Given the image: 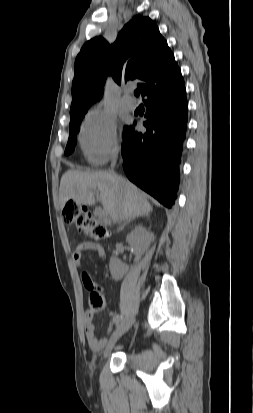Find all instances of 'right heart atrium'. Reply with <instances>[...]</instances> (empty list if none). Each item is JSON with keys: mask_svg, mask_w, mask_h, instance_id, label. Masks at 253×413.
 <instances>
[{"mask_svg": "<svg viewBox=\"0 0 253 413\" xmlns=\"http://www.w3.org/2000/svg\"><path fill=\"white\" fill-rule=\"evenodd\" d=\"M79 141L89 163H106L119 149L115 119L104 112L90 113L83 122Z\"/></svg>", "mask_w": 253, "mask_h": 413, "instance_id": "obj_1", "label": "right heart atrium"}]
</instances>
